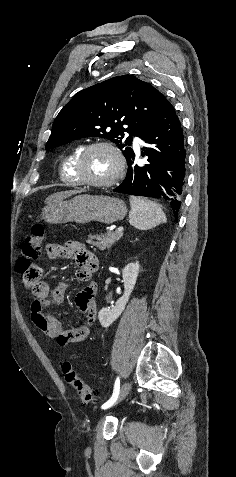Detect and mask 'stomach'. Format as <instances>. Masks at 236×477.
I'll return each mask as SVG.
<instances>
[{"label":"stomach","instance_id":"0dacf381","mask_svg":"<svg viewBox=\"0 0 236 477\" xmlns=\"http://www.w3.org/2000/svg\"><path fill=\"white\" fill-rule=\"evenodd\" d=\"M126 213L125 203L118 198L83 194L68 201L47 205L42 210V218L50 224H86L91 221L112 224L123 220Z\"/></svg>","mask_w":236,"mask_h":477}]
</instances>
